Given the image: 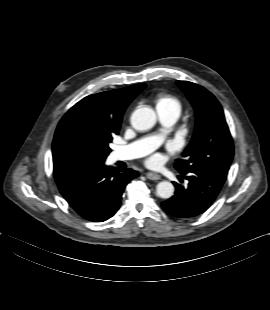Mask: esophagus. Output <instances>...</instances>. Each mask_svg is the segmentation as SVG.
Returning <instances> with one entry per match:
<instances>
[{
    "mask_svg": "<svg viewBox=\"0 0 270 310\" xmlns=\"http://www.w3.org/2000/svg\"><path fill=\"white\" fill-rule=\"evenodd\" d=\"M146 177L150 180H159L161 178L159 174L154 173V172H147Z\"/></svg>",
    "mask_w": 270,
    "mask_h": 310,
    "instance_id": "1",
    "label": "esophagus"
}]
</instances>
